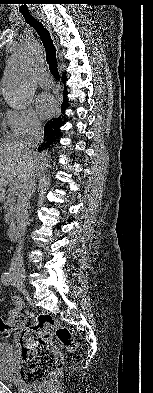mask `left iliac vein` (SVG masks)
<instances>
[{
  "label": "left iliac vein",
  "mask_w": 153,
  "mask_h": 393,
  "mask_svg": "<svg viewBox=\"0 0 153 393\" xmlns=\"http://www.w3.org/2000/svg\"><path fill=\"white\" fill-rule=\"evenodd\" d=\"M13 286L16 287L20 291H24V287L18 284L16 281L13 282Z\"/></svg>",
  "instance_id": "4c4485c4"
}]
</instances>
